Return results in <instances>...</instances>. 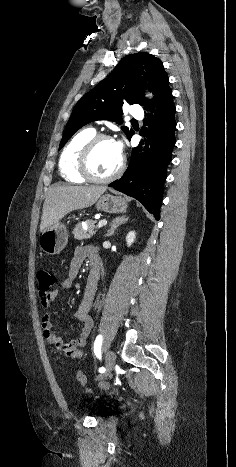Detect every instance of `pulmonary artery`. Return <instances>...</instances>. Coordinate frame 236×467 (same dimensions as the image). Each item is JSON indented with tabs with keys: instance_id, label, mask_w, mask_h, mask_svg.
<instances>
[{
	"instance_id": "1",
	"label": "pulmonary artery",
	"mask_w": 236,
	"mask_h": 467,
	"mask_svg": "<svg viewBox=\"0 0 236 467\" xmlns=\"http://www.w3.org/2000/svg\"><path fill=\"white\" fill-rule=\"evenodd\" d=\"M130 114H131L134 118L142 119L143 116H144V112H143V109H142L141 105H139V104H134L133 107H132V109H131Z\"/></svg>"
}]
</instances>
